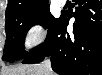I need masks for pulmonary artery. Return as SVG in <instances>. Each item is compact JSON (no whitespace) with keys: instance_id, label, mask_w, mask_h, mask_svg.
<instances>
[{"instance_id":"pulmonary-artery-1","label":"pulmonary artery","mask_w":102,"mask_h":75,"mask_svg":"<svg viewBox=\"0 0 102 75\" xmlns=\"http://www.w3.org/2000/svg\"><path fill=\"white\" fill-rule=\"evenodd\" d=\"M65 2V0H61V1H59V4L61 5V4H63Z\"/></svg>"}]
</instances>
